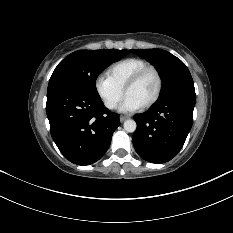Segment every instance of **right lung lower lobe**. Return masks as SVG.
Wrapping results in <instances>:
<instances>
[{
    "label": "right lung lower lobe",
    "mask_w": 233,
    "mask_h": 233,
    "mask_svg": "<svg viewBox=\"0 0 233 233\" xmlns=\"http://www.w3.org/2000/svg\"><path fill=\"white\" fill-rule=\"evenodd\" d=\"M46 112L51 136L72 163L90 165L107 151L119 115L109 111L100 97L57 88L47 92Z\"/></svg>",
    "instance_id": "obj_1"
}]
</instances>
